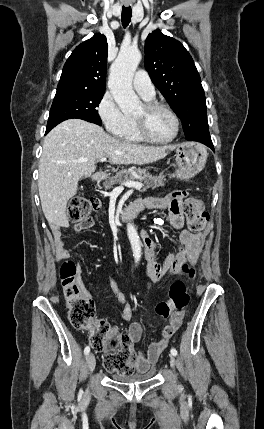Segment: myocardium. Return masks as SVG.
<instances>
[{"label": "myocardium", "mask_w": 264, "mask_h": 429, "mask_svg": "<svg viewBox=\"0 0 264 429\" xmlns=\"http://www.w3.org/2000/svg\"><path fill=\"white\" fill-rule=\"evenodd\" d=\"M143 106L146 113H150L157 110H162L167 112L174 121L175 130L173 135L170 138L166 140H157L149 134L145 119L134 117L137 131L139 133V136L142 138V140L152 144H169L173 142L177 138L180 130V120L178 115L169 106L160 102L150 101V102H146Z\"/></svg>", "instance_id": "f54148a6"}]
</instances>
